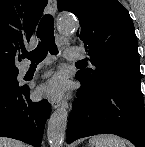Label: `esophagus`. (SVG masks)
Here are the masks:
<instances>
[{"mask_svg":"<svg viewBox=\"0 0 145 147\" xmlns=\"http://www.w3.org/2000/svg\"><path fill=\"white\" fill-rule=\"evenodd\" d=\"M48 8H49L50 14L54 16L56 14V11H57V2H56V0H49ZM61 105L67 107L66 100L53 99L52 102H51V106H52L53 109H57Z\"/></svg>","mask_w":145,"mask_h":147,"instance_id":"34e87169","label":"esophagus"}]
</instances>
